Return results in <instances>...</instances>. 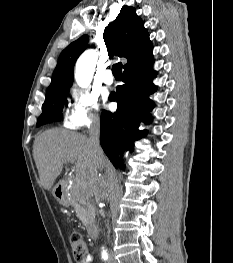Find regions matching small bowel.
<instances>
[{
  "mask_svg": "<svg viewBox=\"0 0 233 263\" xmlns=\"http://www.w3.org/2000/svg\"><path fill=\"white\" fill-rule=\"evenodd\" d=\"M93 261L92 255L88 254L85 256L83 260H81L79 263H91Z\"/></svg>",
  "mask_w": 233,
  "mask_h": 263,
  "instance_id": "c3829d8e",
  "label": "small bowel"
}]
</instances>
